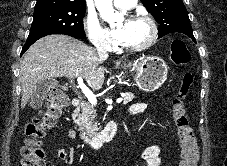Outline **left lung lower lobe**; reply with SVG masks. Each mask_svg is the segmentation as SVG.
Returning <instances> with one entry per match:
<instances>
[{
    "instance_id": "left-lung-lower-lobe-1",
    "label": "left lung lower lobe",
    "mask_w": 227,
    "mask_h": 166,
    "mask_svg": "<svg viewBox=\"0 0 227 166\" xmlns=\"http://www.w3.org/2000/svg\"><path fill=\"white\" fill-rule=\"evenodd\" d=\"M188 37L192 38V40H193L194 42H196V41H195V38H194V36H193V34H189Z\"/></svg>"
}]
</instances>
